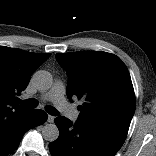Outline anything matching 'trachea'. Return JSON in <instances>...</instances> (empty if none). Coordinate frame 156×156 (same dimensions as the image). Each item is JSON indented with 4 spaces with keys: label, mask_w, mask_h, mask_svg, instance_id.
Returning a JSON list of instances; mask_svg holds the SVG:
<instances>
[{
    "label": "trachea",
    "mask_w": 156,
    "mask_h": 156,
    "mask_svg": "<svg viewBox=\"0 0 156 156\" xmlns=\"http://www.w3.org/2000/svg\"><path fill=\"white\" fill-rule=\"evenodd\" d=\"M16 102L18 104H21V105H24L26 107H29V108H36L37 105H38V102L36 99L34 98H31V99H27V100H21V99H17ZM45 110L50 114V115H53V116H56L59 114V112L53 107V106H46L45 107Z\"/></svg>",
    "instance_id": "obj_1"
}]
</instances>
